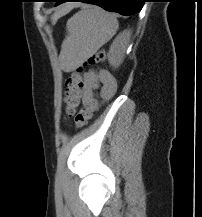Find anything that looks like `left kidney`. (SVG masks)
Returning <instances> with one entry per match:
<instances>
[{"label": "left kidney", "mask_w": 202, "mask_h": 217, "mask_svg": "<svg viewBox=\"0 0 202 217\" xmlns=\"http://www.w3.org/2000/svg\"><path fill=\"white\" fill-rule=\"evenodd\" d=\"M122 38L123 37L120 36L115 42H113L108 53V61L115 69L122 64L125 57L126 42Z\"/></svg>", "instance_id": "5707ae66"}]
</instances>
